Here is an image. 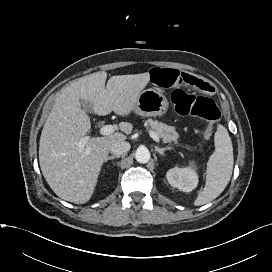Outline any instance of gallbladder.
Here are the masks:
<instances>
[{"mask_svg": "<svg viewBox=\"0 0 272 272\" xmlns=\"http://www.w3.org/2000/svg\"><path fill=\"white\" fill-rule=\"evenodd\" d=\"M82 107L87 112H92V105L87 101H82Z\"/></svg>", "mask_w": 272, "mask_h": 272, "instance_id": "gallbladder-1", "label": "gallbladder"}]
</instances>
